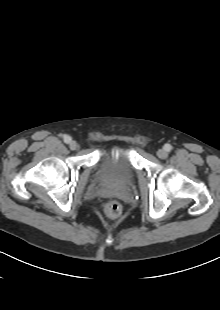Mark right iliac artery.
Here are the masks:
<instances>
[{"label":"right iliac artery","mask_w":220,"mask_h":310,"mask_svg":"<svg viewBox=\"0 0 220 310\" xmlns=\"http://www.w3.org/2000/svg\"><path fill=\"white\" fill-rule=\"evenodd\" d=\"M71 140H72V139H71V137H70V136H68V135H65V136H64V142H65V143H67V144H68V143H70V142H71Z\"/></svg>","instance_id":"right-iliac-artery-1"}]
</instances>
